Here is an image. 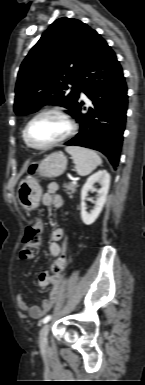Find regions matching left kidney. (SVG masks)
<instances>
[{
    "label": "left kidney",
    "mask_w": 145,
    "mask_h": 385,
    "mask_svg": "<svg viewBox=\"0 0 145 385\" xmlns=\"http://www.w3.org/2000/svg\"><path fill=\"white\" fill-rule=\"evenodd\" d=\"M96 182H99L101 184V188L96 190L94 188V184ZM110 186V174L106 170H99L92 176H90L84 186L82 187L81 190V218L84 224L86 225H91L95 222V220L98 218L100 215L103 206L106 202V197L108 194ZM95 189L98 193L97 200L95 201V207L94 209L88 213L86 211V204H85V199L87 196V193L89 190Z\"/></svg>",
    "instance_id": "obj_1"
}]
</instances>
